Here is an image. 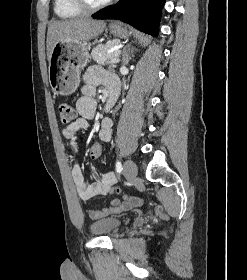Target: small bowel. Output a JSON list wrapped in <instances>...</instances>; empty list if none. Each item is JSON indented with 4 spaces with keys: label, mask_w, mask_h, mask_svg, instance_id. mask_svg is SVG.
I'll return each instance as SVG.
<instances>
[{
    "label": "small bowel",
    "mask_w": 247,
    "mask_h": 280,
    "mask_svg": "<svg viewBox=\"0 0 247 280\" xmlns=\"http://www.w3.org/2000/svg\"><path fill=\"white\" fill-rule=\"evenodd\" d=\"M84 85L81 88L82 96L76 102L78 117L63 130V135L70 141L69 158L71 164V174L75 183L77 193L84 203H88L92 198L113 193L120 194L118 189H114L116 176L113 172H105L97 182H88L83 174L77 154L79 143L77 133L88 128L89 121L94 118L96 113L95 94L96 88L100 84H105L107 89L119 87L118 79L111 73L106 72L100 66H92L85 72ZM113 124L109 118H104L101 122L98 137L105 142L112 138ZM142 201L138 197L124 196L122 200H114L111 207L101 209H91L88 215L91 219H100L112 213H121L132 208L138 207Z\"/></svg>",
    "instance_id": "small-bowel-1"
}]
</instances>
